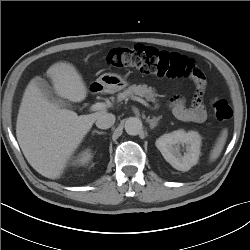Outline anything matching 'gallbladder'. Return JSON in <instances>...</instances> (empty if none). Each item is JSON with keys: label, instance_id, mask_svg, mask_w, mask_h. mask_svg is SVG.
I'll return each instance as SVG.
<instances>
[{"label": "gallbladder", "instance_id": "gallbladder-1", "mask_svg": "<svg viewBox=\"0 0 250 250\" xmlns=\"http://www.w3.org/2000/svg\"><path fill=\"white\" fill-rule=\"evenodd\" d=\"M36 81L38 82L40 88L42 91L46 94L47 98L53 102L58 104L61 108H70V104L65 101L64 99L60 98L50 87V85L47 83V81L41 79V78H36Z\"/></svg>", "mask_w": 250, "mask_h": 250}]
</instances>
